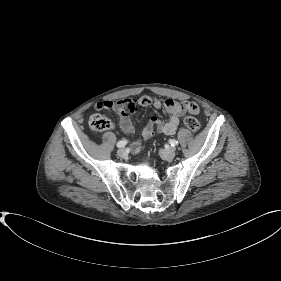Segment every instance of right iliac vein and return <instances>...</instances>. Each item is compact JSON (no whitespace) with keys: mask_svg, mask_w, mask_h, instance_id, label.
Wrapping results in <instances>:
<instances>
[{"mask_svg":"<svg viewBox=\"0 0 281 281\" xmlns=\"http://www.w3.org/2000/svg\"><path fill=\"white\" fill-rule=\"evenodd\" d=\"M117 154L119 157L124 158L126 156V150L124 148H120L118 149Z\"/></svg>","mask_w":281,"mask_h":281,"instance_id":"obj_1","label":"right iliac vein"}]
</instances>
